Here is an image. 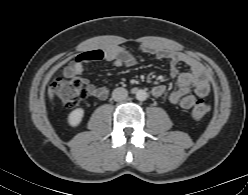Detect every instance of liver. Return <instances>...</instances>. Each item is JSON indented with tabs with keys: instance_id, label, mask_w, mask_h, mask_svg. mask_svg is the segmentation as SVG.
<instances>
[{
	"instance_id": "liver-1",
	"label": "liver",
	"mask_w": 248,
	"mask_h": 195,
	"mask_svg": "<svg viewBox=\"0 0 248 195\" xmlns=\"http://www.w3.org/2000/svg\"><path fill=\"white\" fill-rule=\"evenodd\" d=\"M53 92H54L53 88L51 86H49V88H48V97H49L50 100H53V98H54V93Z\"/></svg>"
}]
</instances>
